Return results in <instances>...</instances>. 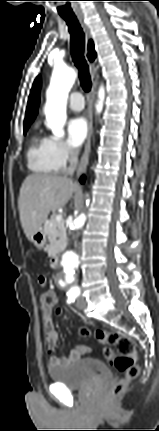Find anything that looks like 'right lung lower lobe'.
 Wrapping results in <instances>:
<instances>
[{
	"label": "right lung lower lobe",
	"mask_w": 159,
	"mask_h": 431,
	"mask_svg": "<svg viewBox=\"0 0 159 431\" xmlns=\"http://www.w3.org/2000/svg\"><path fill=\"white\" fill-rule=\"evenodd\" d=\"M84 181H85V177H84V176H81V178H80V182H81V183H84Z\"/></svg>",
	"instance_id": "98d812e1"
}]
</instances>
